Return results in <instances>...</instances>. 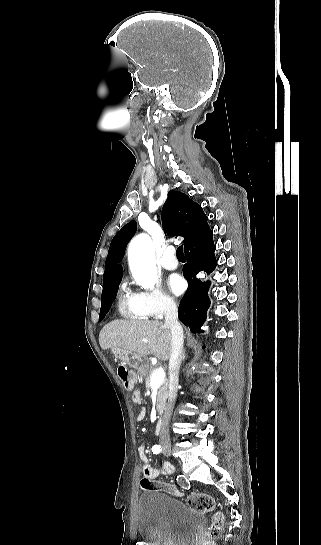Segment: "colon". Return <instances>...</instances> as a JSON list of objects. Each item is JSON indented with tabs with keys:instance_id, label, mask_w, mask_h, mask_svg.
<instances>
[{
	"instance_id": "obj_1",
	"label": "colon",
	"mask_w": 321,
	"mask_h": 545,
	"mask_svg": "<svg viewBox=\"0 0 321 545\" xmlns=\"http://www.w3.org/2000/svg\"><path fill=\"white\" fill-rule=\"evenodd\" d=\"M117 373L122 383L127 388H132L134 384V378L132 372L124 365H120L117 368ZM141 486L145 490H162L170 494H177V490L164 482L154 481L149 478H144L141 481ZM188 504L195 510L202 513H210L214 510V499L207 493H195L188 498ZM224 517L221 512H216L213 517V522L209 530V537L211 539L217 538L223 531ZM204 545H211V541H206Z\"/></svg>"
}]
</instances>
